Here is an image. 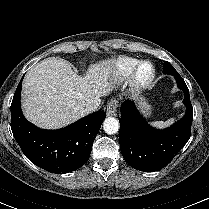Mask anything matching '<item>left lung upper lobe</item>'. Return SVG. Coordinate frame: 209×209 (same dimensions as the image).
I'll return each instance as SVG.
<instances>
[{
  "instance_id": "obj_1",
  "label": "left lung upper lobe",
  "mask_w": 209,
  "mask_h": 209,
  "mask_svg": "<svg viewBox=\"0 0 209 209\" xmlns=\"http://www.w3.org/2000/svg\"><path fill=\"white\" fill-rule=\"evenodd\" d=\"M163 72L166 73V74H171V75L174 74V73H177L175 68L167 61L164 62Z\"/></svg>"
}]
</instances>
